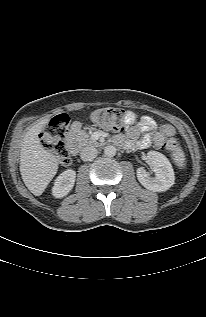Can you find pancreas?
<instances>
[{
  "mask_svg": "<svg viewBox=\"0 0 206 317\" xmlns=\"http://www.w3.org/2000/svg\"><path fill=\"white\" fill-rule=\"evenodd\" d=\"M72 136L75 139V141L78 142L80 146H89L96 143V141L91 139L89 134L83 130L73 132Z\"/></svg>",
  "mask_w": 206,
  "mask_h": 317,
  "instance_id": "pancreas-1",
  "label": "pancreas"
}]
</instances>
